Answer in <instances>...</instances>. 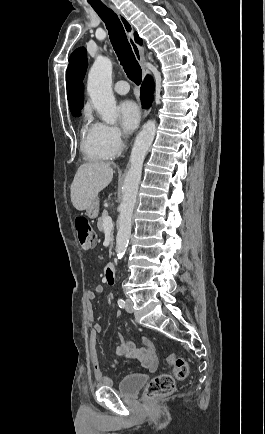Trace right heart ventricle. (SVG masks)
Returning a JSON list of instances; mask_svg holds the SVG:
<instances>
[{
  "label": "right heart ventricle",
  "mask_w": 265,
  "mask_h": 434,
  "mask_svg": "<svg viewBox=\"0 0 265 434\" xmlns=\"http://www.w3.org/2000/svg\"><path fill=\"white\" fill-rule=\"evenodd\" d=\"M80 120L82 124L80 145L86 160L93 163L113 159L116 154H106L96 141L95 124L92 123V114L88 108L83 109Z\"/></svg>",
  "instance_id": "right-heart-ventricle-1"
}]
</instances>
